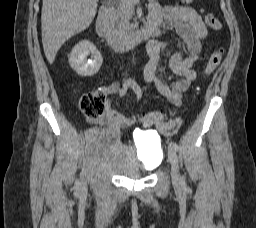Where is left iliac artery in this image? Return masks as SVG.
<instances>
[{"mask_svg": "<svg viewBox=\"0 0 256 228\" xmlns=\"http://www.w3.org/2000/svg\"><path fill=\"white\" fill-rule=\"evenodd\" d=\"M169 146L172 147L175 151H178V149H179L177 143L174 141H171Z\"/></svg>", "mask_w": 256, "mask_h": 228, "instance_id": "left-iliac-artery-1", "label": "left iliac artery"}]
</instances>
